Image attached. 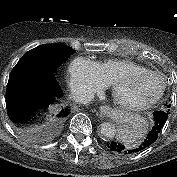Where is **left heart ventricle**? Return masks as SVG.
<instances>
[{"label": "left heart ventricle", "instance_id": "left-heart-ventricle-1", "mask_svg": "<svg viewBox=\"0 0 177 177\" xmlns=\"http://www.w3.org/2000/svg\"><path fill=\"white\" fill-rule=\"evenodd\" d=\"M161 87L160 80L153 76H139L124 81L117 96L124 103L138 104L152 99Z\"/></svg>", "mask_w": 177, "mask_h": 177}]
</instances>
